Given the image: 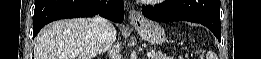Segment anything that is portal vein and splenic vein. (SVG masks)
<instances>
[{
	"mask_svg": "<svg viewBox=\"0 0 261 59\" xmlns=\"http://www.w3.org/2000/svg\"><path fill=\"white\" fill-rule=\"evenodd\" d=\"M80 51H82V49H80ZM77 53H79V51H77ZM147 56L150 58L152 57V53L151 52H147Z\"/></svg>",
	"mask_w": 261,
	"mask_h": 59,
	"instance_id": "portal-vein-and-splenic-vein-1",
	"label": "portal vein and splenic vein"
}]
</instances>
